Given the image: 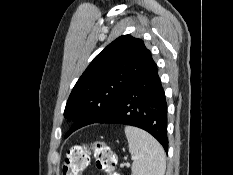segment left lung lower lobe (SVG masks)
Returning <instances> with one entry per match:
<instances>
[{"label": "left lung lower lobe", "instance_id": "1", "mask_svg": "<svg viewBox=\"0 0 233 175\" xmlns=\"http://www.w3.org/2000/svg\"><path fill=\"white\" fill-rule=\"evenodd\" d=\"M94 123L139 127L168 150L167 103L154 61L119 97L113 107Z\"/></svg>", "mask_w": 233, "mask_h": 175}]
</instances>
